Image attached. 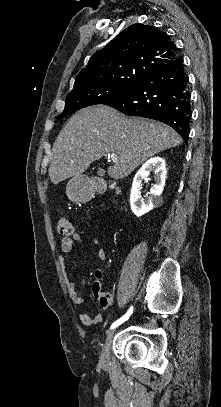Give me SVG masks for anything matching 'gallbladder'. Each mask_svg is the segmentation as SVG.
<instances>
[{
    "label": "gallbladder",
    "instance_id": "bac80fb5",
    "mask_svg": "<svg viewBox=\"0 0 221 407\" xmlns=\"http://www.w3.org/2000/svg\"><path fill=\"white\" fill-rule=\"evenodd\" d=\"M104 173H105V172H104V170H103V169H99V170H98V174H99V175H101V176H102V175H104Z\"/></svg>",
    "mask_w": 221,
    "mask_h": 407
}]
</instances>
